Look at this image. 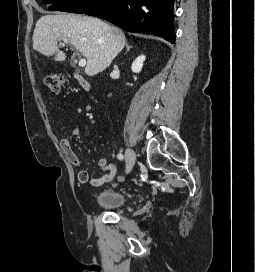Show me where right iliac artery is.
I'll return each instance as SVG.
<instances>
[{"label":"right iliac artery","instance_id":"right-iliac-artery-1","mask_svg":"<svg viewBox=\"0 0 255 272\" xmlns=\"http://www.w3.org/2000/svg\"><path fill=\"white\" fill-rule=\"evenodd\" d=\"M117 158H118L119 160H123V159H124V155L121 154V153H119V154L117 155Z\"/></svg>","mask_w":255,"mask_h":272}]
</instances>
